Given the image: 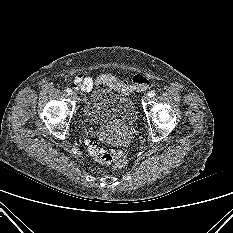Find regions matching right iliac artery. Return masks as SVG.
Wrapping results in <instances>:
<instances>
[{"mask_svg":"<svg viewBox=\"0 0 233 233\" xmlns=\"http://www.w3.org/2000/svg\"><path fill=\"white\" fill-rule=\"evenodd\" d=\"M66 92L70 95V94H72V90L70 89V88H67L66 89Z\"/></svg>","mask_w":233,"mask_h":233,"instance_id":"82829eb1","label":"right iliac artery"}]
</instances>
